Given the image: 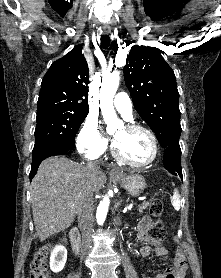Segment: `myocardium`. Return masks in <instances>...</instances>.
Here are the masks:
<instances>
[{
	"instance_id": "1",
	"label": "myocardium",
	"mask_w": 221,
	"mask_h": 278,
	"mask_svg": "<svg viewBox=\"0 0 221 278\" xmlns=\"http://www.w3.org/2000/svg\"><path fill=\"white\" fill-rule=\"evenodd\" d=\"M125 128L129 131H141V132L146 133L149 136L151 143H152V149H153L152 156L148 161H146L144 163H134V162H131L128 159H126L124 156H122L121 153L118 151L116 144L113 143V145L111 147V152H112L113 157L116 160H118L119 162H121L127 166H130L132 168H137V169L146 168V167L150 166L151 164H153L157 160V157L159 154V146H158V141H157L155 134L149 128L141 126V125L129 124V125H126Z\"/></svg>"
}]
</instances>
